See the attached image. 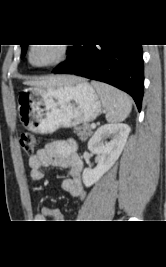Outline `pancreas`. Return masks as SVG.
Here are the masks:
<instances>
[{"instance_id":"obj_1","label":"pancreas","mask_w":166,"mask_h":267,"mask_svg":"<svg viewBox=\"0 0 166 267\" xmlns=\"http://www.w3.org/2000/svg\"><path fill=\"white\" fill-rule=\"evenodd\" d=\"M74 132L77 133L82 141H85L89 136L92 135V129L88 124L75 127Z\"/></svg>"}]
</instances>
